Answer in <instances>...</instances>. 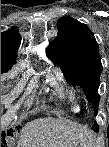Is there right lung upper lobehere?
Listing matches in <instances>:
<instances>
[{
  "label": "right lung upper lobe",
  "mask_w": 109,
  "mask_h": 147,
  "mask_svg": "<svg viewBox=\"0 0 109 147\" xmlns=\"http://www.w3.org/2000/svg\"><path fill=\"white\" fill-rule=\"evenodd\" d=\"M1 33V68H10L15 63L17 49L20 46V35L17 28Z\"/></svg>",
  "instance_id": "right-lung-upper-lobe-1"
}]
</instances>
